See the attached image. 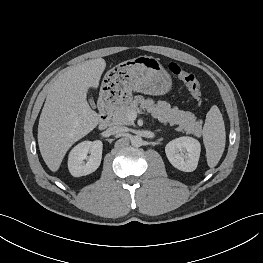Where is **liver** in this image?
I'll return each mask as SVG.
<instances>
[{"mask_svg": "<svg viewBox=\"0 0 263 263\" xmlns=\"http://www.w3.org/2000/svg\"><path fill=\"white\" fill-rule=\"evenodd\" d=\"M106 62L103 58L68 68L52 83L38 125V145L48 168L56 172L68 149L99 123L87 102L89 88H97Z\"/></svg>", "mask_w": 263, "mask_h": 263, "instance_id": "1", "label": "liver"}]
</instances>
